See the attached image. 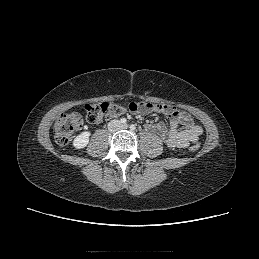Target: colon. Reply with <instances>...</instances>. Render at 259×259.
Instances as JSON below:
<instances>
[{
  "label": "colon",
  "mask_w": 259,
  "mask_h": 259,
  "mask_svg": "<svg viewBox=\"0 0 259 259\" xmlns=\"http://www.w3.org/2000/svg\"><path fill=\"white\" fill-rule=\"evenodd\" d=\"M134 103V102H132ZM129 109V106H128ZM143 110V109H141ZM86 118L90 123H100L105 119L118 117L126 112V108L110 103H92L84 106ZM135 112L134 110H130ZM83 125V118L79 112H69L61 114L54 124V138L60 145H66L70 142L74 132L79 130ZM199 144L194 143L190 146L191 152H196L199 149Z\"/></svg>",
  "instance_id": "obj_1"
}]
</instances>
